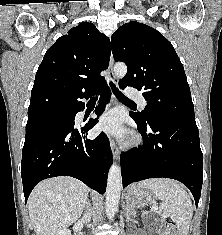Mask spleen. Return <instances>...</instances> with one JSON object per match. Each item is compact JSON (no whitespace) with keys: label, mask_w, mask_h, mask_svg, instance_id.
<instances>
[{"label":"spleen","mask_w":222,"mask_h":235,"mask_svg":"<svg viewBox=\"0 0 222 235\" xmlns=\"http://www.w3.org/2000/svg\"><path fill=\"white\" fill-rule=\"evenodd\" d=\"M137 187L162 200L161 209L175 222L179 235H188L193 206L189 194L179 183L167 178H153L138 183Z\"/></svg>","instance_id":"1"}]
</instances>
